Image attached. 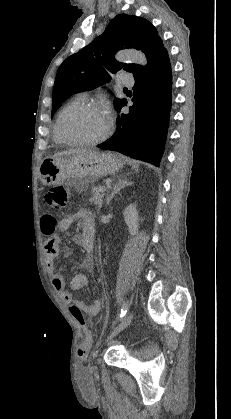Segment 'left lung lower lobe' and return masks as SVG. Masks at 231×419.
Instances as JSON below:
<instances>
[{
  "mask_svg": "<svg viewBox=\"0 0 231 419\" xmlns=\"http://www.w3.org/2000/svg\"><path fill=\"white\" fill-rule=\"evenodd\" d=\"M134 79V104L128 114L118 115L114 135L97 147L159 166L172 101V71L167 50ZM126 104L123 99L118 112Z\"/></svg>",
  "mask_w": 231,
  "mask_h": 419,
  "instance_id": "1",
  "label": "left lung lower lobe"
}]
</instances>
